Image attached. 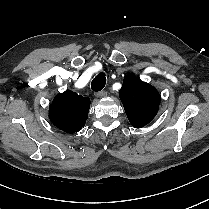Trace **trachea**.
I'll return each instance as SVG.
<instances>
[{
    "mask_svg": "<svg viewBox=\"0 0 209 209\" xmlns=\"http://www.w3.org/2000/svg\"><path fill=\"white\" fill-rule=\"evenodd\" d=\"M106 84V75L105 73L98 74L91 82V89L93 91H101Z\"/></svg>",
    "mask_w": 209,
    "mask_h": 209,
    "instance_id": "1",
    "label": "trachea"
}]
</instances>
